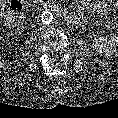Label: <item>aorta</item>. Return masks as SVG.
I'll list each match as a JSON object with an SVG mask.
<instances>
[{"label":"aorta","mask_w":118,"mask_h":118,"mask_svg":"<svg viewBox=\"0 0 118 118\" xmlns=\"http://www.w3.org/2000/svg\"><path fill=\"white\" fill-rule=\"evenodd\" d=\"M40 19L44 24H50L53 21V14L50 11H44Z\"/></svg>","instance_id":"1"}]
</instances>
